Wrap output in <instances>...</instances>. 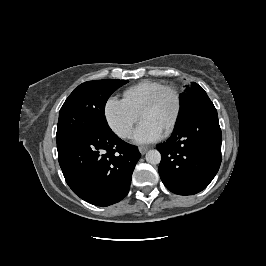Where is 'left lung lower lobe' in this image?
<instances>
[{"instance_id":"0a47b994","label":"left lung lower lobe","mask_w":266,"mask_h":266,"mask_svg":"<svg viewBox=\"0 0 266 266\" xmlns=\"http://www.w3.org/2000/svg\"><path fill=\"white\" fill-rule=\"evenodd\" d=\"M222 133L216 108L200 105L177 124L170 138L156 148L159 174L168 190L192 195L205 189L221 164Z\"/></svg>"}]
</instances>
